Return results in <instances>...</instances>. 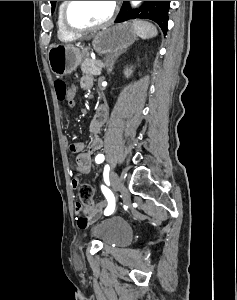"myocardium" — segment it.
Wrapping results in <instances>:
<instances>
[{
    "mask_svg": "<svg viewBox=\"0 0 237 300\" xmlns=\"http://www.w3.org/2000/svg\"><path fill=\"white\" fill-rule=\"evenodd\" d=\"M73 3H74V1H66L63 11H62L63 25H64L65 29L73 35L81 34L84 32H90V31H98V30H102V29L110 26L114 22L116 15H117V11H118L117 1H113L112 12H111L110 16L104 22L97 24V25H93V26L78 28V27L73 26L69 22V18H68L69 10Z\"/></svg>",
    "mask_w": 237,
    "mask_h": 300,
    "instance_id": "1",
    "label": "myocardium"
}]
</instances>
